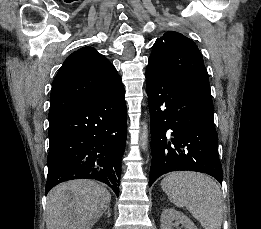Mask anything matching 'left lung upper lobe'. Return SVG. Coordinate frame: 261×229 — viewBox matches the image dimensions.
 <instances>
[{
    "label": "left lung upper lobe",
    "instance_id": "1",
    "mask_svg": "<svg viewBox=\"0 0 261 229\" xmlns=\"http://www.w3.org/2000/svg\"><path fill=\"white\" fill-rule=\"evenodd\" d=\"M147 70L169 79L210 87L208 73L196 44L174 31L166 32L156 40Z\"/></svg>",
    "mask_w": 261,
    "mask_h": 229
}]
</instances>
